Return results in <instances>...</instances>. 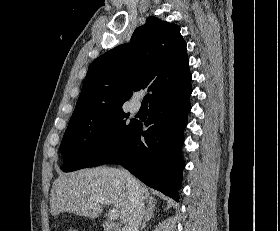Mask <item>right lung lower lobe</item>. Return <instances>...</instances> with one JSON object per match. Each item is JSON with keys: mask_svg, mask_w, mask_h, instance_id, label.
<instances>
[{"mask_svg": "<svg viewBox=\"0 0 280 231\" xmlns=\"http://www.w3.org/2000/svg\"><path fill=\"white\" fill-rule=\"evenodd\" d=\"M191 85L159 98L149 105L148 130L134 124L118 152L104 164H121L146 185L178 201L182 169L183 129L191 109ZM142 135L145 140H140Z\"/></svg>", "mask_w": 280, "mask_h": 231, "instance_id": "obj_1", "label": "right lung lower lobe"}]
</instances>
